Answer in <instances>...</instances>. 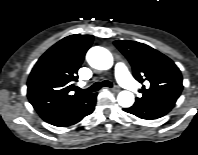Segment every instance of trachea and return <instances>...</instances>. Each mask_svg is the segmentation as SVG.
Instances as JSON below:
<instances>
[{
	"instance_id": "obj_1",
	"label": "trachea",
	"mask_w": 198,
	"mask_h": 155,
	"mask_svg": "<svg viewBox=\"0 0 198 155\" xmlns=\"http://www.w3.org/2000/svg\"><path fill=\"white\" fill-rule=\"evenodd\" d=\"M102 87H113V84L110 81H102V82H96L93 84L91 87L88 89H82V92L90 93V92H95L101 89Z\"/></svg>"
}]
</instances>
